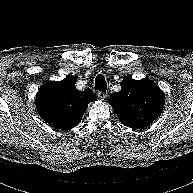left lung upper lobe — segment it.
Masks as SVG:
<instances>
[{
  "instance_id": "1",
  "label": "left lung upper lobe",
  "mask_w": 193,
  "mask_h": 193,
  "mask_svg": "<svg viewBox=\"0 0 193 193\" xmlns=\"http://www.w3.org/2000/svg\"><path fill=\"white\" fill-rule=\"evenodd\" d=\"M120 85L121 90L114 92L109 102L123 125L143 128L162 113L165 95L155 82L125 77Z\"/></svg>"
}]
</instances>
